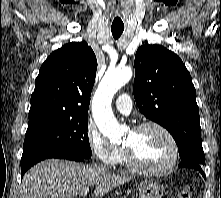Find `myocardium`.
<instances>
[{"label": "myocardium", "instance_id": "1", "mask_svg": "<svg viewBox=\"0 0 221 198\" xmlns=\"http://www.w3.org/2000/svg\"><path fill=\"white\" fill-rule=\"evenodd\" d=\"M148 128H155L159 131H161L169 140L171 147H172V154L169 159V161L160 166V167H147L142 165L136 158L133 150L130 147L123 146V150L125 153L127 164L134 169L137 172L144 173V174H150V175H160L168 172L171 170L177 163L179 159V145L174 137V135L171 133V131L166 128L164 125L155 122V121H147L140 123L133 127L132 131L134 133H139L145 129Z\"/></svg>", "mask_w": 221, "mask_h": 198}]
</instances>
